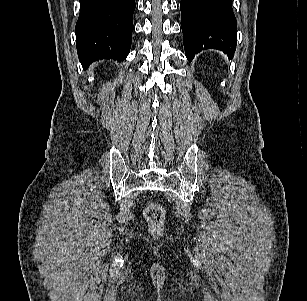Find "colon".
Listing matches in <instances>:
<instances>
[{
  "mask_svg": "<svg viewBox=\"0 0 307 301\" xmlns=\"http://www.w3.org/2000/svg\"><path fill=\"white\" fill-rule=\"evenodd\" d=\"M145 216L155 228H159L164 218V211L159 204L153 203L146 209Z\"/></svg>",
  "mask_w": 307,
  "mask_h": 301,
  "instance_id": "colon-1",
  "label": "colon"
}]
</instances>
